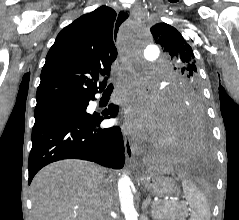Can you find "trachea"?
Wrapping results in <instances>:
<instances>
[{"label":"trachea","mask_w":239,"mask_h":220,"mask_svg":"<svg viewBox=\"0 0 239 220\" xmlns=\"http://www.w3.org/2000/svg\"><path fill=\"white\" fill-rule=\"evenodd\" d=\"M113 89V84H109L106 90H112Z\"/></svg>","instance_id":"obj_1"}]
</instances>
